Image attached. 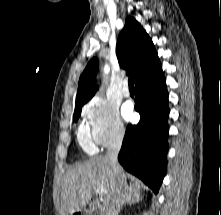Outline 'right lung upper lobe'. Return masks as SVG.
I'll return each mask as SVG.
<instances>
[{
  "mask_svg": "<svg viewBox=\"0 0 221 215\" xmlns=\"http://www.w3.org/2000/svg\"><path fill=\"white\" fill-rule=\"evenodd\" d=\"M120 66L127 75L134 77L135 84L145 81L162 70L154 44L143 27L133 17H127L119 34L116 47ZM98 59L92 58L78 83L76 105L87 103L96 93Z\"/></svg>",
  "mask_w": 221,
  "mask_h": 215,
  "instance_id": "cb5924a9",
  "label": "right lung upper lobe"
}]
</instances>
